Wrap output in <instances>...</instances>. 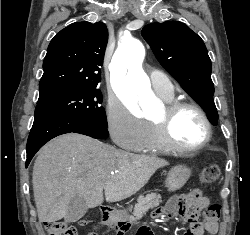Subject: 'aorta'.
Instances as JSON below:
<instances>
[{"mask_svg":"<svg viewBox=\"0 0 250 235\" xmlns=\"http://www.w3.org/2000/svg\"><path fill=\"white\" fill-rule=\"evenodd\" d=\"M145 48L138 40L122 44L110 64L111 81L119 99L130 108L141 105L148 113L147 103H154L155 97L150 90V81L142 69Z\"/></svg>","mask_w":250,"mask_h":235,"instance_id":"1","label":"aorta"}]
</instances>
